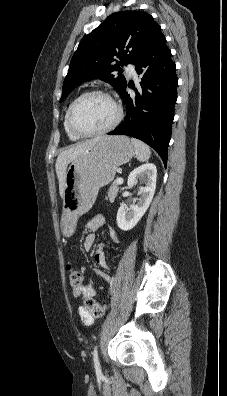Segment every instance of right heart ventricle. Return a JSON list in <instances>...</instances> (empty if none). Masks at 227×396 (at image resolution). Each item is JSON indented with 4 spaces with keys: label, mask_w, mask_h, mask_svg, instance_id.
<instances>
[{
    "label": "right heart ventricle",
    "mask_w": 227,
    "mask_h": 396,
    "mask_svg": "<svg viewBox=\"0 0 227 396\" xmlns=\"http://www.w3.org/2000/svg\"><path fill=\"white\" fill-rule=\"evenodd\" d=\"M69 107H70V105L68 106V108L66 109L65 114H64L63 127H64V130H65V133H66L67 137H68L70 140H72V141H77V140H79L81 137L75 135V134L69 129V126H68V123H67V115H68Z\"/></svg>",
    "instance_id": "obj_1"
}]
</instances>
